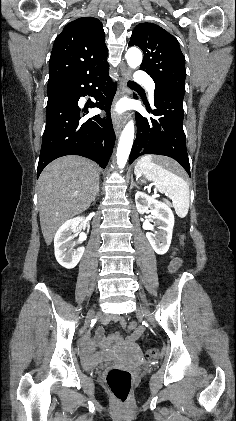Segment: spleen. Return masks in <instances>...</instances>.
Listing matches in <instances>:
<instances>
[{
  "instance_id": "obj_1",
  "label": "spleen",
  "mask_w": 236,
  "mask_h": 421,
  "mask_svg": "<svg viewBox=\"0 0 236 421\" xmlns=\"http://www.w3.org/2000/svg\"><path fill=\"white\" fill-rule=\"evenodd\" d=\"M134 172L135 174H144L146 178L153 180L159 192H165L171 198L178 217L184 219L188 215L190 202L189 184L178 174L167 170L164 162H157L151 154H146V156H142L138 160Z\"/></svg>"
}]
</instances>
